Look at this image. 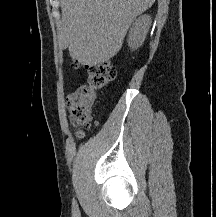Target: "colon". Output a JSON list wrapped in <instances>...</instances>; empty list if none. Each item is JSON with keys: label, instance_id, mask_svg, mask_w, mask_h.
I'll return each instance as SVG.
<instances>
[{"label": "colon", "instance_id": "5ec220e1", "mask_svg": "<svg viewBox=\"0 0 216 217\" xmlns=\"http://www.w3.org/2000/svg\"><path fill=\"white\" fill-rule=\"evenodd\" d=\"M116 76V69L109 62L99 63L88 68L87 82L77 87L71 96L70 122L75 128L87 129L92 120V107L97 92ZM82 137V133H78Z\"/></svg>", "mask_w": 216, "mask_h": 217}]
</instances>
